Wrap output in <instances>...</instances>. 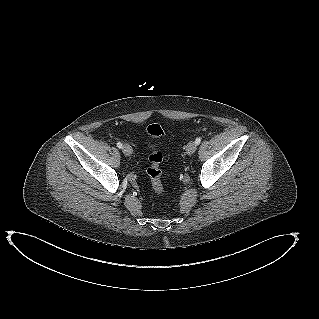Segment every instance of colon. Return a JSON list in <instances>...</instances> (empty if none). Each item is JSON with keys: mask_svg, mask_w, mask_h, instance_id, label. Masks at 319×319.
Here are the masks:
<instances>
[{"mask_svg": "<svg viewBox=\"0 0 319 319\" xmlns=\"http://www.w3.org/2000/svg\"><path fill=\"white\" fill-rule=\"evenodd\" d=\"M147 134L151 138H159L164 135V129L160 124H151L147 127ZM151 153L149 154V167L147 168V175L149 177L153 191L162 195L164 193V186L162 182L161 163L163 161V153L156 148L155 145H150Z\"/></svg>", "mask_w": 319, "mask_h": 319, "instance_id": "5ec220e1", "label": "colon"}]
</instances>
